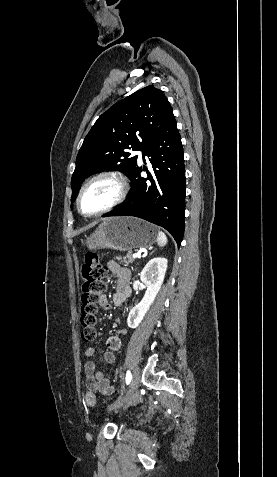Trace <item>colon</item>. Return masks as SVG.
Segmentation results:
<instances>
[{"mask_svg": "<svg viewBox=\"0 0 277 477\" xmlns=\"http://www.w3.org/2000/svg\"><path fill=\"white\" fill-rule=\"evenodd\" d=\"M107 269L100 262L99 255L89 250L85 253L81 266V336L85 342H91L96 338L97 313L101 307L103 292L105 290L104 279ZM85 402L89 407L96 403L93 392H87Z\"/></svg>", "mask_w": 277, "mask_h": 477, "instance_id": "5ec220e1", "label": "colon"}]
</instances>
